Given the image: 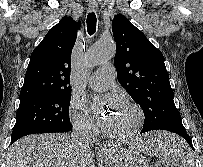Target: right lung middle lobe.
I'll return each instance as SVG.
<instances>
[{
    "mask_svg": "<svg viewBox=\"0 0 203 167\" xmlns=\"http://www.w3.org/2000/svg\"><path fill=\"white\" fill-rule=\"evenodd\" d=\"M71 91L39 95L20 101L11 140L35 133L70 131Z\"/></svg>",
    "mask_w": 203,
    "mask_h": 167,
    "instance_id": "obj_1",
    "label": "right lung middle lobe"
}]
</instances>
